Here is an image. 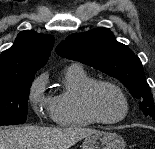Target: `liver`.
I'll return each instance as SVG.
<instances>
[{"label":"liver","instance_id":"obj_1","mask_svg":"<svg viewBox=\"0 0 155 149\" xmlns=\"http://www.w3.org/2000/svg\"><path fill=\"white\" fill-rule=\"evenodd\" d=\"M95 129L82 127L43 128L15 126L0 128V149H70Z\"/></svg>","mask_w":155,"mask_h":149}]
</instances>
